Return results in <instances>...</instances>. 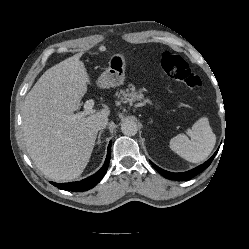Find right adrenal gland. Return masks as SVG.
I'll return each mask as SVG.
<instances>
[{"label":"right adrenal gland","mask_w":249,"mask_h":249,"mask_svg":"<svg viewBox=\"0 0 249 249\" xmlns=\"http://www.w3.org/2000/svg\"><path fill=\"white\" fill-rule=\"evenodd\" d=\"M103 133V130H101L98 134V141H97V144H100L101 143V134Z\"/></svg>","instance_id":"2a0ac1e0"}]
</instances>
